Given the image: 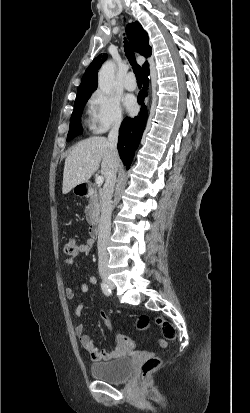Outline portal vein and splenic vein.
<instances>
[{
    "label": "portal vein and splenic vein",
    "instance_id": "obj_1",
    "mask_svg": "<svg viewBox=\"0 0 250 413\" xmlns=\"http://www.w3.org/2000/svg\"><path fill=\"white\" fill-rule=\"evenodd\" d=\"M96 184L101 185L104 182L103 176H97L95 180Z\"/></svg>",
    "mask_w": 250,
    "mask_h": 413
}]
</instances>
